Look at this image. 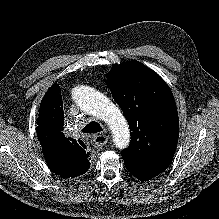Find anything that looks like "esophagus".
I'll return each mask as SVG.
<instances>
[{"label":"esophagus","mask_w":219,"mask_h":219,"mask_svg":"<svg viewBox=\"0 0 219 219\" xmlns=\"http://www.w3.org/2000/svg\"><path fill=\"white\" fill-rule=\"evenodd\" d=\"M108 142V136L104 134H98L93 137L92 145L95 148H101Z\"/></svg>","instance_id":"34e87169"}]
</instances>
